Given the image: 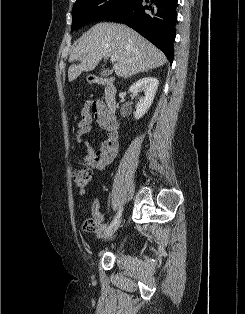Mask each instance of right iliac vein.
Masks as SVG:
<instances>
[{
	"label": "right iliac vein",
	"mask_w": 245,
	"mask_h": 314,
	"mask_svg": "<svg viewBox=\"0 0 245 314\" xmlns=\"http://www.w3.org/2000/svg\"><path fill=\"white\" fill-rule=\"evenodd\" d=\"M122 218V212L118 215L117 221L114 224V226L103 236V241H107L112 237V235L115 233V231L118 229L120 222Z\"/></svg>",
	"instance_id": "right-iliac-vein-1"
}]
</instances>
